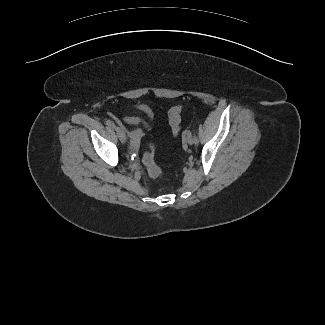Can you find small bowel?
Listing matches in <instances>:
<instances>
[{
  "label": "small bowel",
  "instance_id": "obj_1",
  "mask_svg": "<svg viewBox=\"0 0 325 325\" xmlns=\"http://www.w3.org/2000/svg\"><path fill=\"white\" fill-rule=\"evenodd\" d=\"M132 107L144 111L149 116V118H151V119L153 118L152 111L148 106H146L144 104H134V105H132ZM123 121L126 123H129V124L142 125L146 131L149 130V128H150L149 123L141 117L129 116V117H125L123 119ZM128 135L131 139L133 149L138 150L139 146H140V141H141L142 137L144 136V132L140 131V130H131V131H128Z\"/></svg>",
  "mask_w": 325,
  "mask_h": 325
}]
</instances>
